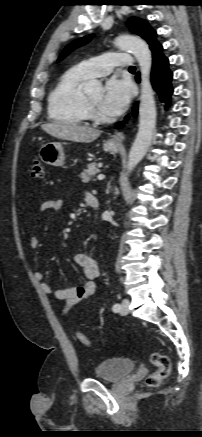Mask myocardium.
Wrapping results in <instances>:
<instances>
[{
	"label": "myocardium",
	"mask_w": 202,
	"mask_h": 437,
	"mask_svg": "<svg viewBox=\"0 0 202 437\" xmlns=\"http://www.w3.org/2000/svg\"><path fill=\"white\" fill-rule=\"evenodd\" d=\"M84 101L89 115L97 119H104V117L102 116L99 110V107L95 103H93L85 94H84Z\"/></svg>",
	"instance_id": "1"
}]
</instances>
